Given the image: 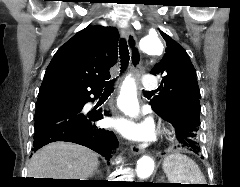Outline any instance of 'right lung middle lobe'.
Returning <instances> with one entry per match:
<instances>
[{"mask_svg": "<svg viewBox=\"0 0 240 187\" xmlns=\"http://www.w3.org/2000/svg\"><path fill=\"white\" fill-rule=\"evenodd\" d=\"M55 102H60V103H64V104H67L69 106H76L79 104L80 102V99L79 98H74V99H63V100H59V101H55ZM42 106H45V105H42ZM42 106H37V108H40ZM36 108V109H37Z\"/></svg>", "mask_w": 240, "mask_h": 187, "instance_id": "obj_1", "label": "right lung middle lobe"}]
</instances>
